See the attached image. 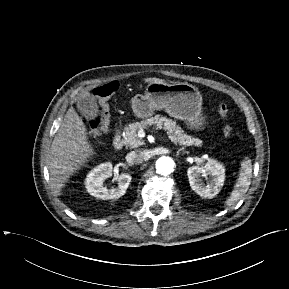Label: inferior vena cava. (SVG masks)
Wrapping results in <instances>:
<instances>
[{
	"label": "inferior vena cava",
	"instance_id": "602c4592",
	"mask_svg": "<svg viewBox=\"0 0 289 289\" xmlns=\"http://www.w3.org/2000/svg\"><path fill=\"white\" fill-rule=\"evenodd\" d=\"M149 159V155L144 150L137 149L135 151H131L126 155V160L130 164H139Z\"/></svg>",
	"mask_w": 289,
	"mask_h": 289
}]
</instances>
